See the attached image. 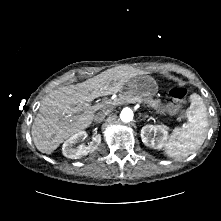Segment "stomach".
Returning a JSON list of instances; mask_svg holds the SVG:
<instances>
[{
    "label": "stomach",
    "instance_id": "0dacf381",
    "mask_svg": "<svg viewBox=\"0 0 221 221\" xmlns=\"http://www.w3.org/2000/svg\"><path fill=\"white\" fill-rule=\"evenodd\" d=\"M126 90L137 94V95H144L147 96L150 93H154L155 90L151 88L150 83H148L146 77H136L132 80H130L128 83H126Z\"/></svg>",
    "mask_w": 221,
    "mask_h": 221
}]
</instances>
